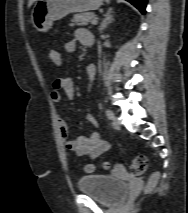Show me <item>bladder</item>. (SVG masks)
Listing matches in <instances>:
<instances>
[{
  "label": "bladder",
  "mask_w": 188,
  "mask_h": 213,
  "mask_svg": "<svg viewBox=\"0 0 188 213\" xmlns=\"http://www.w3.org/2000/svg\"><path fill=\"white\" fill-rule=\"evenodd\" d=\"M78 190L103 205H115L127 191L126 183L114 175L87 174L78 180Z\"/></svg>",
  "instance_id": "31cf9c89"
}]
</instances>
